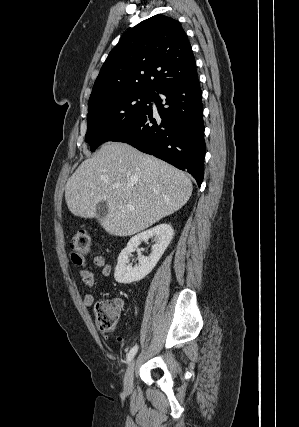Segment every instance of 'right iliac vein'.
Returning <instances> with one entry per match:
<instances>
[{
    "label": "right iliac vein",
    "instance_id": "1",
    "mask_svg": "<svg viewBox=\"0 0 299 427\" xmlns=\"http://www.w3.org/2000/svg\"><path fill=\"white\" fill-rule=\"evenodd\" d=\"M134 370H135V360L133 359L126 370L125 377H124V389L126 391H132L133 389Z\"/></svg>",
    "mask_w": 299,
    "mask_h": 427
}]
</instances>
